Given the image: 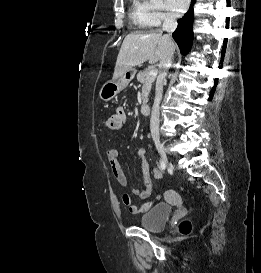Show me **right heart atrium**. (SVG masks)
<instances>
[{
	"label": "right heart atrium",
	"instance_id": "right-heart-atrium-1",
	"mask_svg": "<svg viewBox=\"0 0 261 273\" xmlns=\"http://www.w3.org/2000/svg\"><path fill=\"white\" fill-rule=\"evenodd\" d=\"M143 19L147 27H158L174 19V13L164 0H141Z\"/></svg>",
	"mask_w": 261,
	"mask_h": 273
}]
</instances>
